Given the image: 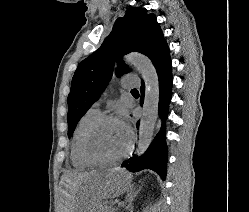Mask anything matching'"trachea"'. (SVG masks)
I'll return each instance as SVG.
<instances>
[{"instance_id": "3493384b", "label": "trachea", "mask_w": 249, "mask_h": 212, "mask_svg": "<svg viewBox=\"0 0 249 212\" xmlns=\"http://www.w3.org/2000/svg\"><path fill=\"white\" fill-rule=\"evenodd\" d=\"M132 90H136V91H137V89H136V88H133Z\"/></svg>"}]
</instances>
